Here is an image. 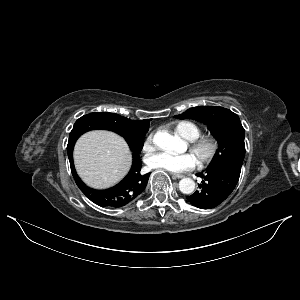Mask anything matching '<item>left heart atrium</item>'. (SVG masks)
Wrapping results in <instances>:
<instances>
[{"mask_svg": "<svg viewBox=\"0 0 300 300\" xmlns=\"http://www.w3.org/2000/svg\"><path fill=\"white\" fill-rule=\"evenodd\" d=\"M147 164L153 169L179 173L193 169L197 164V158L191 153L175 155L168 152H158L147 158Z\"/></svg>", "mask_w": 300, "mask_h": 300, "instance_id": "left-heart-atrium-1", "label": "left heart atrium"}]
</instances>
